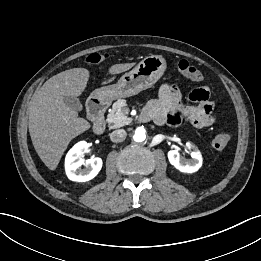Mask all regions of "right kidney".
Segmentation results:
<instances>
[{"mask_svg":"<svg viewBox=\"0 0 261 261\" xmlns=\"http://www.w3.org/2000/svg\"><path fill=\"white\" fill-rule=\"evenodd\" d=\"M89 148V143L80 141L67 153L65 158V171L72 181L86 182L93 179L102 168V159L99 157L84 160L80 156ZM85 165L84 169L81 166Z\"/></svg>","mask_w":261,"mask_h":261,"instance_id":"right-kidney-1","label":"right kidney"}]
</instances>
